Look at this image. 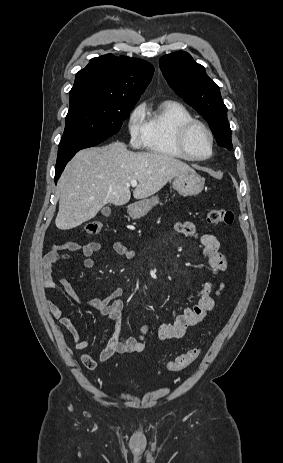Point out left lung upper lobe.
<instances>
[{"label": "left lung upper lobe", "instance_id": "obj_1", "mask_svg": "<svg viewBox=\"0 0 283 463\" xmlns=\"http://www.w3.org/2000/svg\"><path fill=\"white\" fill-rule=\"evenodd\" d=\"M159 65L169 86L206 119L218 145L232 149L227 107L204 67L184 51L161 57Z\"/></svg>", "mask_w": 283, "mask_h": 463}]
</instances>
